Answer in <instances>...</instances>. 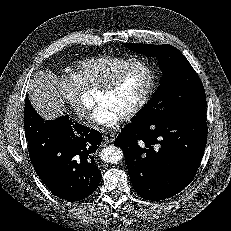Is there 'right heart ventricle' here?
<instances>
[{
  "instance_id": "right-heart-ventricle-1",
  "label": "right heart ventricle",
  "mask_w": 231,
  "mask_h": 231,
  "mask_svg": "<svg viewBox=\"0 0 231 231\" xmlns=\"http://www.w3.org/2000/svg\"><path fill=\"white\" fill-rule=\"evenodd\" d=\"M132 61L120 55H98L77 62L73 67V75L82 87L98 88Z\"/></svg>"
}]
</instances>
